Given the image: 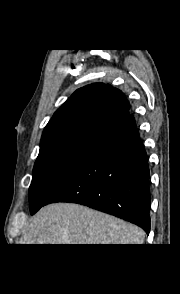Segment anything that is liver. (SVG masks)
Masks as SVG:
<instances>
[{
    "mask_svg": "<svg viewBox=\"0 0 180 294\" xmlns=\"http://www.w3.org/2000/svg\"><path fill=\"white\" fill-rule=\"evenodd\" d=\"M144 231L111 215L72 203H55L31 218L19 244H143Z\"/></svg>",
    "mask_w": 180,
    "mask_h": 294,
    "instance_id": "6515ba94",
    "label": "liver"
}]
</instances>
